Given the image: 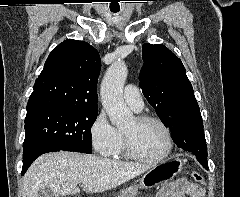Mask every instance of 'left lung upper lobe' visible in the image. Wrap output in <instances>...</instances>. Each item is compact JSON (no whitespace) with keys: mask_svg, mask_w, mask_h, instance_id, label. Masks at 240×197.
Returning a JSON list of instances; mask_svg holds the SVG:
<instances>
[{"mask_svg":"<svg viewBox=\"0 0 240 197\" xmlns=\"http://www.w3.org/2000/svg\"><path fill=\"white\" fill-rule=\"evenodd\" d=\"M144 64L140 71V87L160 120L169 127L173 137L180 128L194 123L203 126L193 87L181 60L166 46L142 45ZM205 139V138H204ZM195 156L207 158L206 140L184 147Z\"/></svg>","mask_w":240,"mask_h":197,"instance_id":"5c2ea615","label":"left lung upper lobe"}]
</instances>
